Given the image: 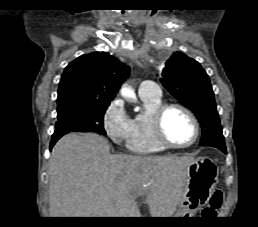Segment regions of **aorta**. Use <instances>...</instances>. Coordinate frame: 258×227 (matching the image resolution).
Wrapping results in <instances>:
<instances>
[{
    "mask_svg": "<svg viewBox=\"0 0 258 227\" xmlns=\"http://www.w3.org/2000/svg\"><path fill=\"white\" fill-rule=\"evenodd\" d=\"M121 95L127 100H132L136 97L133 89L128 86H123L121 88Z\"/></svg>",
    "mask_w": 258,
    "mask_h": 227,
    "instance_id": "762f6f07",
    "label": "aorta"
}]
</instances>
